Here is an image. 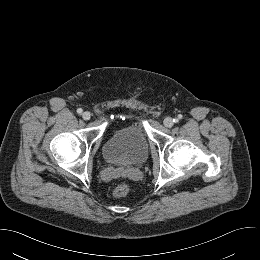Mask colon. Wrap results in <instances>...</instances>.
I'll return each mask as SVG.
<instances>
[{
	"instance_id": "1",
	"label": "colon",
	"mask_w": 260,
	"mask_h": 260,
	"mask_svg": "<svg viewBox=\"0 0 260 260\" xmlns=\"http://www.w3.org/2000/svg\"><path fill=\"white\" fill-rule=\"evenodd\" d=\"M130 187L127 183H121L117 185L113 191V196L115 198H123L128 195Z\"/></svg>"
}]
</instances>
